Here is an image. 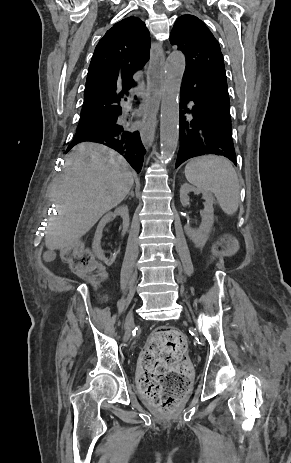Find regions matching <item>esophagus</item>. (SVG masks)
Wrapping results in <instances>:
<instances>
[{
    "mask_svg": "<svg viewBox=\"0 0 291 463\" xmlns=\"http://www.w3.org/2000/svg\"><path fill=\"white\" fill-rule=\"evenodd\" d=\"M164 63L165 54L159 43H153L150 59V87L148 94V111L144 117V124L140 130L142 142L150 147L154 140L157 125V114L164 88Z\"/></svg>",
    "mask_w": 291,
    "mask_h": 463,
    "instance_id": "obj_1",
    "label": "esophagus"
}]
</instances>
